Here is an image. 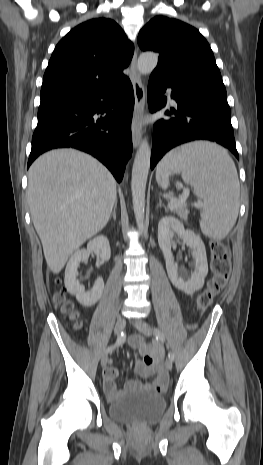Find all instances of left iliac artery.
<instances>
[{"mask_svg": "<svg viewBox=\"0 0 263 465\" xmlns=\"http://www.w3.org/2000/svg\"><path fill=\"white\" fill-rule=\"evenodd\" d=\"M154 334H155V337H156V340L157 341H161V342H164L165 341V336L163 334V332L161 330H159L158 328H154ZM168 357L169 359H171L172 361L174 360V355L171 351H169L168 353Z\"/></svg>", "mask_w": 263, "mask_h": 465, "instance_id": "left-iliac-artery-1", "label": "left iliac artery"}]
</instances>
